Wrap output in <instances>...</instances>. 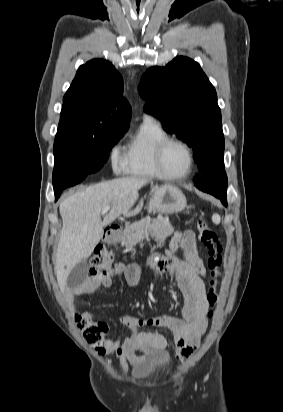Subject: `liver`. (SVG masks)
<instances>
[{
    "label": "liver",
    "instance_id": "6515ba94",
    "mask_svg": "<svg viewBox=\"0 0 283 412\" xmlns=\"http://www.w3.org/2000/svg\"><path fill=\"white\" fill-rule=\"evenodd\" d=\"M149 182L146 178L127 177L101 182L76 192L59 206L63 226L58 243L55 272L61 291L65 290L72 268L87 259L103 235V227L120 215L132 216L141 209H133L139 189ZM110 212L102 220L104 207Z\"/></svg>",
    "mask_w": 283,
    "mask_h": 412
}]
</instances>
